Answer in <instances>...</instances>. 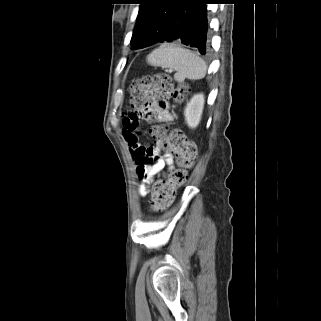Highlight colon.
Here are the masks:
<instances>
[{"label":"colon","instance_id":"obj_1","mask_svg":"<svg viewBox=\"0 0 321 321\" xmlns=\"http://www.w3.org/2000/svg\"><path fill=\"white\" fill-rule=\"evenodd\" d=\"M186 94V87H175L171 77L166 74L144 76L135 79L130 85L131 106L137 110L146 109L165 98L182 101ZM155 136L176 156L178 162V168H171L168 178L156 182L153 187L151 206L158 211L172 203L176 189L184 183L187 171L197 158V148L180 129H174L167 134L163 126H155Z\"/></svg>","mask_w":321,"mask_h":321}]
</instances>
